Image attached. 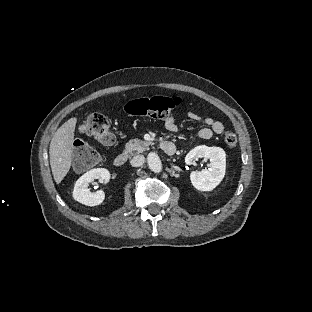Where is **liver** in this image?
Here are the masks:
<instances>
[{"instance_id":"liver-1","label":"liver","mask_w":312,"mask_h":312,"mask_svg":"<svg viewBox=\"0 0 312 312\" xmlns=\"http://www.w3.org/2000/svg\"><path fill=\"white\" fill-rule=\"evenodd\" d=\"M77 117H71L55 132L49 149L51 171L56 184H60L72 165Z\"/></svg>"}]
</instances>
